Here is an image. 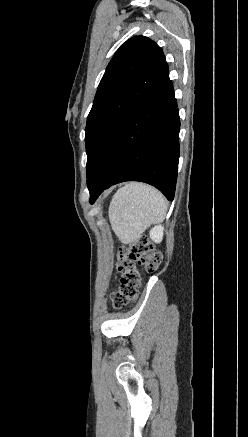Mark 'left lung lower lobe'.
<instances>
[{
  "label": "left lung lower lobe",
  "instance_id": "left-lung-lower-lobe-1",
  "mask_svg": "<svg viewBox=\"0 0 248 437\" xmlns=\"http://www.w3.org/2000/svg\"><path fill=\"white\" fill-rule=\"evenodd\" d=\"M180 118L173 84L167 77L133 112L115 135L100 169L88 187L90 203L110 186L141 181L168 200L175 194Z\"/></svg>",
  "mask_w": 248,
  "mask_h": 437
}]
</instances>
